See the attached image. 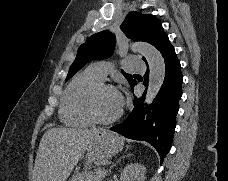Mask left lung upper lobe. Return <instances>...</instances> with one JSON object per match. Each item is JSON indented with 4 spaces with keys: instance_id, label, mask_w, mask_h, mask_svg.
Returning <instances> with one entry per match:
<instances>
[{
    "instance_id": "1",
    "label": "left lung upper lobe",
    "mask_w": 228,
    "mask_h": 181,
    "mask_svg": "<svg viewBox=\"0 0 228 181\" xmlns=\"http://www.w3.org/2000/svg\"><path fill=\"white\" fill-rule=\"evenodd\" d=\"M123 33L135 41H145L157 47L168 36L163 31L161 22L154 15L130 12L120 26ZM115 36L108 30L98 32L90 36L82 44L77 56L72 63L66 81L79 71L87 62L102 60L112 55L115 48ZM145 60V58H142ZM129 84L136 80L134 75L122 71Z\"/></svg>"
}]
</instances>
